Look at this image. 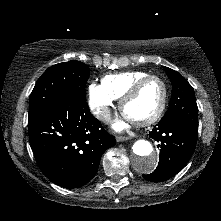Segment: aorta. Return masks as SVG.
Segmentation results:
<instances>
[{
	"label": "aorta",
	"instance_id": "762f6f07",
	"mask_svg": "<svg viewBox=\"0 0 221 221\" xmlns=\"http://www.w3.org/2000/svg\"><path fill=\"white\" fill-rule=\"evenodd\" d=\"M132 165L141 173L154 171L158 163V156L152 144L145 139H138L132 145Z\"/></svg>",
	"mask_w": 221,
	"mask_h": 221
}]
</instances>
